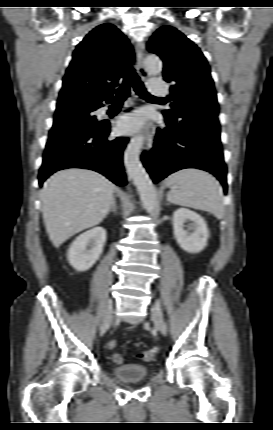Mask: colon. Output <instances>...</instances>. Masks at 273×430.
I'll return each mask as SVG.
<instances>
[{
	"mask_svg": "<svg viewBox=\"0 0 273 430\" xmlns=\"http://www.w3.org/2000/svg\"><path fill=\"white\" fill-rule=\"evenodd\" d=\"M115 345H116V341H115V340H111V341H109V343H108V347H109V348H113V347H115ZM156 353H157V349H156V348H150V349H147V350L142 351V352L138 355V358H139L140 360H142V361H145V362H147V361H151V360H153V359L155 358ZM112 360H113V361H114V363H116V364H122V363H123V361H124L123 356H122L121 354H119V353H115V354H113V355H112Z\"/></svg>",
	"mask_w": 273,
	"mask_h": 430,
	"instance_id": "obj_1",
	"label": "colon"
}]
</instances>
